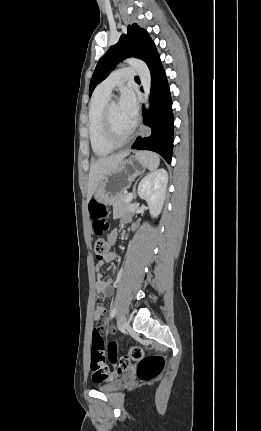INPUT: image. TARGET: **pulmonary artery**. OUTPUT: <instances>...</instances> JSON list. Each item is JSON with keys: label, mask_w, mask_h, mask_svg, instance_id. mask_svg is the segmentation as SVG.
<instances>
[{"label": "pulmonary artery", "mask_w": 261, "mask_h": 431, "mask_svg": "<svg viewBox=\"0 0 261 431\" xmlns=\"http://www.w3.org/2000/svg\"><path fill=\"white\" fill-rule=\"evenodd\" d=\"M135 75L136 70L131 67L115 70L97 86L96 90L100 93L110 95L114 88L127 80L133 79Z\"/></svg>", "instance_id": "obj_1"}]
</instances>
